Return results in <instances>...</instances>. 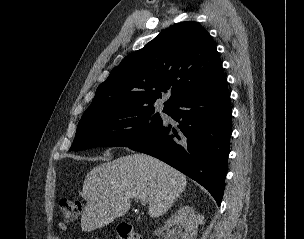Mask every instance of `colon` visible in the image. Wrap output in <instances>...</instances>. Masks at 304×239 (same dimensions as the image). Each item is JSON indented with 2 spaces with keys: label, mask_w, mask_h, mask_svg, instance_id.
Instances as JSON below:
<instances>
[{
  "label": "colon",
  "mask_w": 304,
  "mask_h": 239,
  "mask_svg": "<svg viewBox=\"0 0 304 239\" xmlns=\"http://www.w3.org/2000/svg\"><path fill=\"white\" fill-rule=\"evenodd\" d=\"M59 208L67 221L76 220L81 212L80 202L70 198L60 199ZM116 236L118 239H143L138 233L134 232L128 224L119 225L116 230Z\"/></svg>",
  "instance_id": "colon-1"
}]
</instances>
